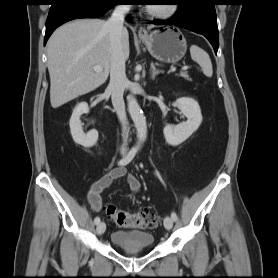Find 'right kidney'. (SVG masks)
I'll use <instances>...</instances> for the list:
<instances>
[{"label": "right kidney", "instance_id": "right-kidney-1", "mask_svg": "<svg viewBox=\"0 0 278 278\" xmlns=\"http://www.w3.org/2000/svg\"><path fill=\"white\" fill-rule=\"evenodd\" d=\"M88 112V104L86 102L79 103L73 110L69 122L70 132L74 142L85 148L92 147L98 140V132L96 130H91L87 134L83 132L80 116Z\"/></svg>", "mask_w": 278, "mask_h": 278}]
</instances>
